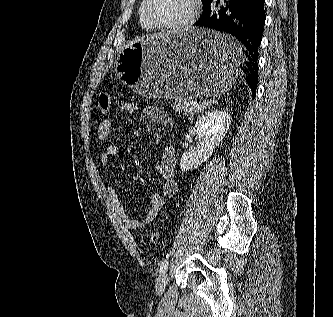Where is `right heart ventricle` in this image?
Listing matches in <instances>:
<instances>
[{
	"instance_id": "e07e8e85",
	"label": "right heart ventricle",
	"mask_w": 333,
	"mask_h": 317,
	"mask_svg": "<svg viewBox=\"0 0 333 317\" xmlns=\"http://www.w3.org/2000/svg\"><path fill=\"white\" fill-rule=\"evenodd\" d=\"M142 5H143V2L141 3L140 8H139V22L146 31H153L154 28L147 22V20L145 19L144 15H143Z\"/></svg>"
}]
</instances>
